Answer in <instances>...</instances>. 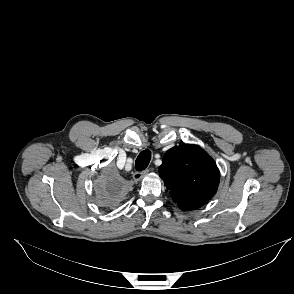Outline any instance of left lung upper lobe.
<instances>
[{
  "label": "left lung upper lobe",
  "mask_w": 294,
  "mask_h": 294,
  "mask_svg": "<svg viewBox=\"0 0 294 294\" xmlns=\"http://www.w3.org/2000/svg\"><path fill=\"white\" fill-rule=\"evenodd\" d=\"M159 174L183 211L195 210L210 200L220 179L214 160L199 146L189 144L168 150Z\"/></svg>",
  "instance_id": "obj_1"
}]
</instances>
